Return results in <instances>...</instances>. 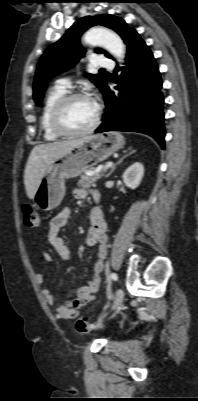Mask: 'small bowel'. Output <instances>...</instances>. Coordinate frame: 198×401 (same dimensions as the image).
I'll return each mask as SVG.
<instances>
[{"label": "small bowel", "mask_w": 198, "mask_h": 401, "mask_svg": "<svg viewBox=\"0 0 198 401\" xmlns=\"http://www.w3.org/2000/svg\"><path fill=\"white\" fill-rule=\"evenodd\" d=\"M86 189L77 188L73 191V195L77 199H82L87 196ZM96 194V193H95ZM70 217V209H62L56 216L52 218L48 230V241L58 255L66 262L71 261V251L65 244L64 240L59 235V232L64 228ZM90 227L86 237V243L89 247H98V261L94 265L91 279L87 285H79L75 288V299L72 300L67 306H58L55 308L56 314L63 319H74L78 316L81 307L88 304L94 297L95 293L99 290L102 282L103 260L108 252V236L107 224L103 216L102 210L94 206L90 212ZM45 258L50 260L49 253L44 254ZM36 281L38 284L45 283V277L37 273ZM42 294L49 304L55 303V295L53 292L44 288ZM92 323L79 325L77 323V330L80 333H87L93 329Z\"/></svg>", "instance_id": "small-bowel-1"}]
</instances>
